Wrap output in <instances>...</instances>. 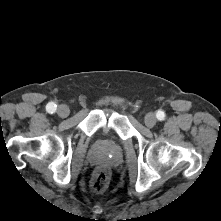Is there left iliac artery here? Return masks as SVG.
<instances>
[{
  "mask_svg": "<svg viewBox=\"0 0 221 221\" xmlns=\"http://www.w3.org/2000/svg\"><path fill=\"white\" fill-rule=\"evenodd\" d=\"M156 117H157V119L160 120V121H161V120H164V118H165V113H164V111H161V110L157 111Z\"/></svg>",
  "mask_w": 221,
  "mask_h": 221,
  "instance_id": "left-iliac-artery-1",
  "label": "left iliac artery"
}]
</instances>
